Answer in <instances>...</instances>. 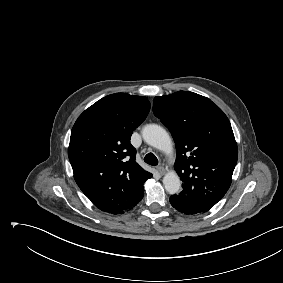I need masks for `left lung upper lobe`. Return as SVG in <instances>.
Segmentation results:
<instances>
[{
  "label": "left lung upper lobe",
  "instance_id": "1",
  "mask_svg": "<svg viewBox=\"0 0 283 283\" xmlns=\"http://www.w3.org/2000/svg\"><path fill=\"white\" fill-rule=\"evenodd\" d=\"M153 112L176 144L179 195L210 210L229 189L238 158L227 116L207 97L188 91L155 97Z\"/></svg>",
  "mask_w": 283,
  "mask_h": 283
}]
</instances>
